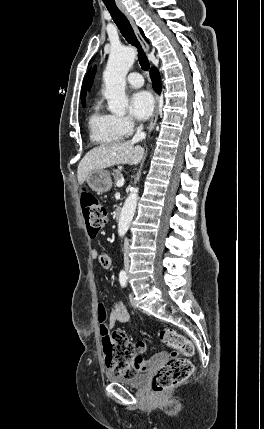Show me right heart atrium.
<instances>
[{
    "mask_svg": "<svg viewBox=\"0 0 264 429\" xmlns=\"http://www.w3.org/2000/svg\"><path fill=\"white\" fill-rule=\"evenodd\" d=\"M116 124L123 136H129L135 129L136 124L129 116H115Z\"/></svg>",
    "mask_w": 264,
    "mask_h": 429,
    "instance_id": "right-heart-atrium-1",
    "label": "right heart atrium"
}]
</instances>
